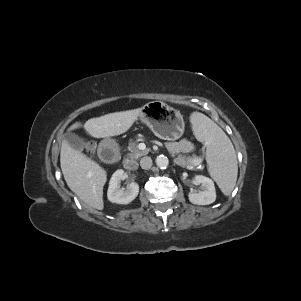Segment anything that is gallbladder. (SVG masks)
<instances>
[{
  "label": "gallbladder",
  "instance_id": "bac80fb5",
  "mask_svg": "<svg viewBox=\"0 0 301 301\" xmlns=\"http://www.w3.org/2000/svg\"><path fill=\"white\" fill-rule=\"evenodd\" d=\"M62 139L65 140L71 148L78 152H82L85 148V143L80 139V137L72 132H67L63 134Z\"/></svg>",
  "mask_w": 301,
  "mask_h": 301
}]
</instances>
